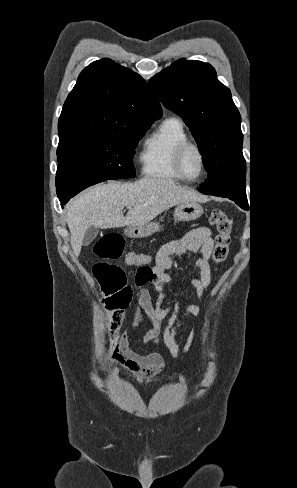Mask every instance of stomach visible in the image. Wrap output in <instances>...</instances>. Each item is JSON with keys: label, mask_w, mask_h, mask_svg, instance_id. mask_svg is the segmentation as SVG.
Listing matches in <instances>:
<instances>
[{"label": "stomach", "mask_w": 297, "mask_h": 488, "mask_svg": "<svg viewBox=\"0 0 297 488\" xmlns=\"http://www.w3.org/2000/svg\"><path fill=\"white\" fill-rule=\"evenodd\" d=\"M203 207L197 201H190L180 203L174 210V220L193 221L198 219L203 214ZM160 230L158 222H149L139 226H129L125 230V234L130 238H145Z\"/></svg>", "instance_id": "stomach-1"}]
</instances>
